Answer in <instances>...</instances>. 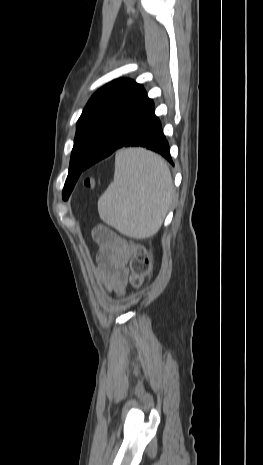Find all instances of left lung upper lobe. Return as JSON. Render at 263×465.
I'll use <instances>...</instances> for the list:
<instances>
[{
    "instance_id": "left-lung-upper-lobe-1",
    "label": "left lung upper lobe",
    "mask_w": 263,
    "mask_h": 465,
    "mask_svg": "<svg viewBox=\"0 0 263 465\" xmlns=\"http://www.w3.org/2000/svg\"><path fill=\"white\" fill-rule=\"evenodd\" d=\"M142 89L143 86L135 81L118 79L99 89L90 98L77 122L69 173L62 192L64 200L68 199L102 133Z\"/></svg>"
}]
</instances>
